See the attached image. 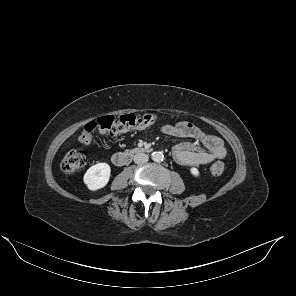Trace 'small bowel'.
<instances>
[{"label": "small bowel", "mask_w": 296, "mask_h": 296, "mask_svg": "<svg viewBox=\"0 0 296 296\" xmlns=\"http://www.w3.org/2000/svg\"><path fill=\"white\" fill-rule=\"evenodd\" d=\"M161 132L165 135L188 139L173 147V157L182 166L199 167L226 156V147L220 137L206 135L190 122L180 121L163 125Z\"/></svg>", "instance_id": "obj_1"}]
</instances>
